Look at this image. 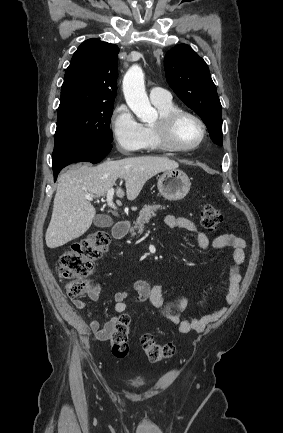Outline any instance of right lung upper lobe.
Listing matches in <instances>:
<instances>
[{"label":"right lung upper lobe","instance_id":"1","mask_svg":"<svg viewBox=\"0 0 283 433\" xmlns=\"http://www.w3.org/2000/svg\"><path fill=\"white\" fill-rule=\"evenodd\" d=\"M117 45L88 39L74 53L66 70L58 110L97 102H113L116 97Z\"/></svg>","mask_w":283,"mask_h":433}]
</instances>
